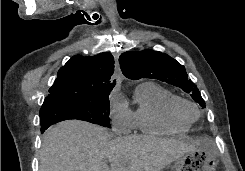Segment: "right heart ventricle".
I'll use <instances>...</instances> for the list:
<instances>
[{
  "label": "right heart ventricle",
  "mask_w": 245,
  "mask_h": 171,
  "mask_svg": "<svg viewBox=\"0 0 245 171\" xmlns=\"http://www.w3.org/2000/svg\"><path fill=\"white\" fill-rule=\"evenodd\" d=\"M179 97L154 82H143L135 90L136 109L132 112L134 127L142 133L166 135L183 133L190 124L177 118L171 110Z\"/></svg>",
  "instance_id": "obj_1"
}]
</instances>
